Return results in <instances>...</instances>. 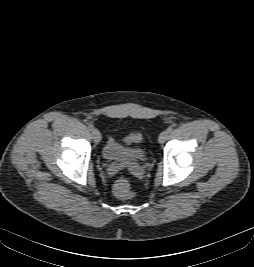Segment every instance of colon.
<instances>
[{"mask_svg": "<svg viewBox=\"0 0 254 267\" xmlns=\"http://www.w3.org/2000/svg\"><path fill=\"white\" fill-rule=\"evenodd\" d=\"M141 140L142 135L139 133L130 134L126 138L127 143L139 142ZM113 192L121 199L131 198L133 196V191L129 179L125 177L118 179L113 186Z\"/></svg>", "mask_w": 254, "mask_h": 267, "instance_id": "obj_1", "label": "colon"}]
</instances>
